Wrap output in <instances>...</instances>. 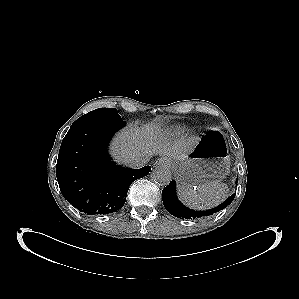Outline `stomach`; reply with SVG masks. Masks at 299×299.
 <instances>
[{"label":"stomach","instance_id":"1","mask_svg":"<svg viewBox=\"0 0 299 299\" xmlns=\"http://www.w3.org/2000/svg\"><path fill=\"white\" fill-rule=\"evenodd\" d=\"M171 165L184 186L198 187L210 181H221L230 170V157L222 134L217 130L206 133L184 159L174 160Z\"/></svg>","mask_w":299,"mask_h":299}]
</instances>
